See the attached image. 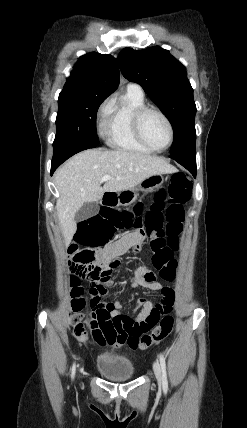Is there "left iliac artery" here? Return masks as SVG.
I'll list each match as a JSON object with an SVG mask.
<instances>
[{"instance_id":"left-iliac-artery-1","label":"left iliac artery","mask_w":247,"mask_h":428,"mask_svg":"<svg viewBox=\"0 0 247 428\" xmlns=\"http://www.w3.org/2000/svg\"><path fill=\"white\" fill-rule=\"evenodd\" d=\"M159 361H160L161 370H162V387H163V391L166 393L168 390V380H167V373H166V362L162 354L159 355Z\"/></svg>"}]
</instances>
